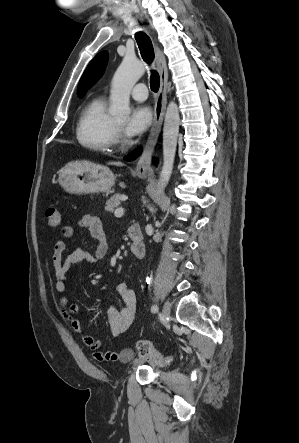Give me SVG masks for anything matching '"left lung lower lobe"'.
<instances>
[{"label":"left lung lower lobe","mask_w":299,"mask_h":443,"mask_svg":"<svg viewBox=\"0 0 299 443\" xmlns=\"http://www.w3.org/2000/svg\"><path fill=\"white\" fill-rule=\"evenodd\" d=\"M140 154H141V148L139 147L136 150H134L133 152H131L130 154H128L127 156H125L124 160H126V161L135 160Z\"/></svg>","instance_id":"left-lung-lower-lobe-1"}]
</instances>
